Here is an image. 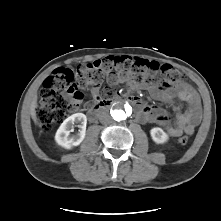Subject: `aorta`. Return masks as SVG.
<instances>
[{
  "instance_id": "aorta-1",
  "label": "aorta",
  "mask_w": 221,
  "mask_h": 221,
  "mask_svg": "<svg viewBox=\"0 0 221 221\" xmlns=\"http://www.w3.org/2000/svg\"><path fill=\"white\" fill-rule=\"evenodd\" d=\"M111 116L115 121H123L128 116V111L123 106H118L111 111Z\"/></svg>"
}]
</instances>
